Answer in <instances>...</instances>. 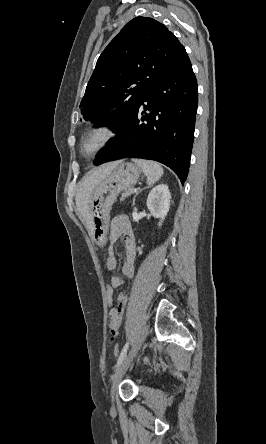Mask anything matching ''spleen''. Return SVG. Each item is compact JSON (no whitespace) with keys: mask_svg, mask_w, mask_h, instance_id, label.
<instances>
[{"mask_svg":"<svg viewBox=\"0 0 266 444\" xmlns=\"http://www.w3.org/2000/svg\"><path fill=\"white\" fill-rule=\"evenodd\" d=\"M133 161L142 168L147 177L148 185H152L157 182L163 174V168L157 162L143 159H133Z\"/></svg>","mask_w":266,"mask_h":444,"instance_id":"1","label":"spleen"}]
</instances>
